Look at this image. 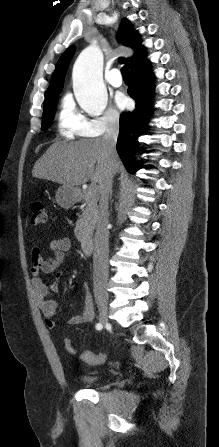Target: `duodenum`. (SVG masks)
Wrapping results in <instances>:
<instances>
[{
    "instance_id": "duodenum-1",
    "label": "duodenum",
    "mask_w": 219,
    "mask_h": 447,
    "mask_svg": "<svg viewBox=\"0 0 219 447\" xmlns=\"http://www.w3.org/2000/svg\"><path fill=\"white\" fill-rule=\"evenodd\" d=\"M80 246L83 253L89 254L92 248V240L85 238L81 241Z\"/></svg>"
}]
</instances>
